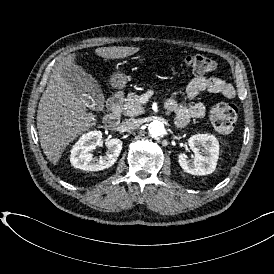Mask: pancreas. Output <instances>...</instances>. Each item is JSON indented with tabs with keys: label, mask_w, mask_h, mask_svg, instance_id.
Instances as JSON below:
<instances>
[{
	"label": "pancreas",
	"mask_w": 274,
	"mask_h": 274,
	"mask_svg": "<svg viewBox=\"0 0 274 274\" xmlns=\"http://www.w3.org/2000/svg\"><path fill=\"white\" fill-rule=\"evenodd\" d=\"M122 113L125 116H138L144 113V108L139 102V96L135 93H129L126 102L122 106Z\"/></svg>",
	"instance_id": "pancreas-1"
}]
</instances>
